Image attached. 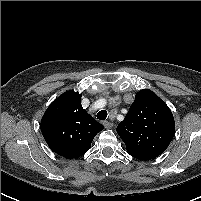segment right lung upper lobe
<instances>
[{"mask_svg": "<svg viewBox=\"0 0 201 201\" xmlns=\"http://www.w3.org/2000/svg\"><path fill=\"white\" fill-rule=\"evenodd\" d=\"M81 96L72 90L55 99L44 113L40 128L52 151L65 158L86 153L103 125L81 105Z\"/></svg>", "mask_w": 201, "mask_h": 201, "instance_id": "1", "label": "right lung upper lobe"}]
</instances>
